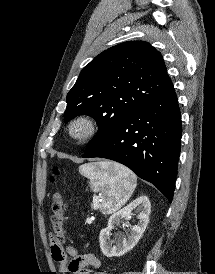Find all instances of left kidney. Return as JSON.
I'll use <instances>...</instances> for the list:
<instances>
[{
	"mask_svg": "<svg viewBox=\"0 0 215 274\" xmlns=\"http://www.w3.org/2000/svg\"><path fill=\"white\" fill-rule=\"evenodd\" d=\"M133 210L140 212L137 216L139 219L138 223L131 228V232L127 235V238L119 236L116 245H113L114 241L110 240L112 229L123 220H128ZM150 212L151 204L148 197L141 196L123 209L114 213L108 220V226L102 229L99 235L102 253L106 257H120L131 250L142 237L149 222Z\"/></svg>",
	"mask_w": 215,
	"mask_h": 274,
	"instance_id": "5707ae66",
	"label": "left kidney"
}]
</instances>
